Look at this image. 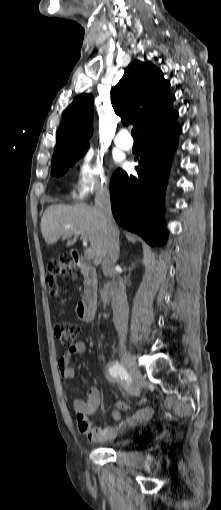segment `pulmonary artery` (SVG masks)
I'll list each match as a JSON object with an SVG mask.
<instances>
[{
	"instance_id": "pulmonary-artery-1",
	"label": "pulmonary artery",
	"mask_w": 221,
	"mask_h": 510,
	"mask_svg": "<svg viewBox=\"0 0 221 510\" xmlns=\"http://www.w3.org/2000/svg\"><path fill=\"white\" fill-rule=\"evenodd\" d=\"M115 144L124 149L129 150L132 148L133 141L130 134L127 131H119L114 138Z\"/></svg>"
}]
</instances>
